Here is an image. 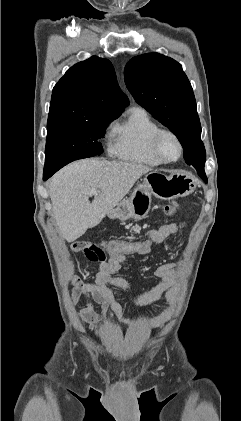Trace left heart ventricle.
Returning a JSON list of instances; mask_svg holds the SVG:
<instances>
[{"label": "left heart ventricle", "mask_w": 241, "mask_h": 421, "mask_svg": "<svg viewBox=\"0 0 241 421\" xmlns=\"http://www.w3.org/2000/svg\"><path fill=\"white\" fill-rule=\"evenodd\" d=\"M161 151L165 158L173 159L178 155L179 148L172 137L165 136L161 141Z\"/></svg>", "instance_id": "b2bd125f"}]
</instances>
